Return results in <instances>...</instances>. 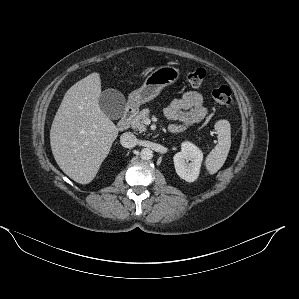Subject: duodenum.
<instances>
[{"label": "duodenum", "mask_w": 299, "mask_h": 299, "mask_svg": "<svg viewBox=\"0 0 299 299\" xmlns=\"http://www.w3.org/2000/svg\"><path fill=\"white\" fill-rule=\"evenodd\" d=\"M132 115H133V108L131 106H128L125 109L122 117L120 118V120L117 123L118 129L126 130L128 128V125H129V122H130V119H131Z\"/></svg>", "instance_id": "obj_1"}]
</instances>
